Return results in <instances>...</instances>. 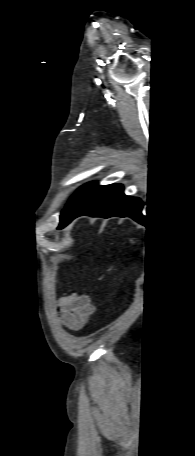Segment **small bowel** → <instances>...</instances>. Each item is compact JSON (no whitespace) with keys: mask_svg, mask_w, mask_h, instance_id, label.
<instances>
[{"mask_svg":"<svg viewBox=\"0 0 195 456\" xmlns=\"http://www.w3.org/2000/svg\"><path fill=\"white\" fill-rule=\"evenodd\" d=\"M88 295L73 293L58 299L56 311L63 325L70 330L82 328L94 312Z\"/></svg>","mask_w":195,"mask_h":456,"instance_id":"obj_1","label":"small bowel"}]
</instances>
